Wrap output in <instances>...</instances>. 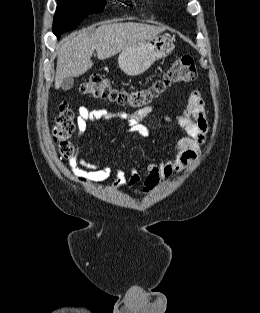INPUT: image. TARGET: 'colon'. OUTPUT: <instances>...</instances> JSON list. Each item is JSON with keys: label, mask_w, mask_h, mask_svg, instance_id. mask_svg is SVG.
<instances>
[{"label": "colon", "mask_w": 260, "mask_h": 313, "mask_svg": "<svg viewBox=\"0 0 260 313\" xmlns=\"http://www.w3.org/2000/svg\"><path fill=\"white\" fill-rule=\"evenodd\" d=\"M198 70L191 56L178 57L163 75L150 85L139 89L119 88L110 79L103 76H92L80 86L83 95L93 98L108 99L123 106L134 109H146L170 87L194 81L198 78ZM75 129V113L65 102H61L54 119L52 137L58 146L60 156L68 159L74 148L70 142Z\"/></svg>", "instance_id": "5ec220e1"}]
</instances>
